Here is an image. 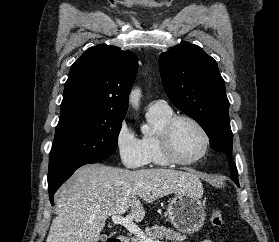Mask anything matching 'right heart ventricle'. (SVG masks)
I'll list each match as a JSON object with an SVG mask.
<instances>
[{"label":"right heart ventricle","instance_id":"right-heart-ventricle-1","mask_svg":"<svg viewBox=\"0 0 279 242\" xmlns=\"http://www.w3.org/2000/svg\"><path fill=\"white\" fill-rule=\"evenodd\" d=\"M173 116L170 107H149L147 119L151 126V132L145 134L142 139V145L146 152L148 163L157 166L166 167L171 163L165 158L159 141L160 132L165 123Z\"/></svg>","mask_w":279,"mask_h":242}]
</instances>
